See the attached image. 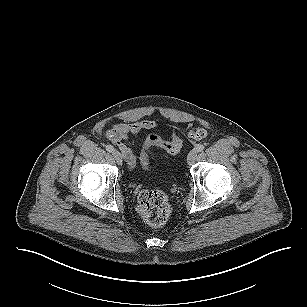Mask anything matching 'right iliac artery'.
Returning <instances> with one entry per match:
<instances>
[{
	"mask_svg": "<svg viewBox=\"0 0 307 307\" xmlns=\"http://www.w3.org/2000/svg\"><path fill=\"white\" fill-rule=\"evenodd\" d=\"M106 150H107L108 152H113L115 149H114V147H113L112 145H107V146H106Z\"/></svg>",
	"mask_w": 307,
	"mask_h": 307,
	"instance_id": "1",
	"label": "right iliac artery"
}]
</instances>
